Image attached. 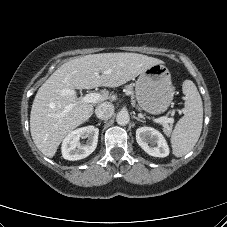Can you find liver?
<instances>
[{"instance_id":"6515ba94","label":"liver","mask_w":227,"mask_h":227,"mask_svg":"<svg viewBox=\"0 0 227 227\" xmlns=\"http://www.w3.org/2000/svg\"><path fill=\"white\" fill-rule=\"evenodd\" d=\"M162 60L137 53H101L72 59L61 65L39 88L30 114V131L36 147L52 158L73 129L93 114L95 103L82 102L76 93L61 95L63 89L119 87ZM108 72V73H107ZM109 99V92L100 102ZM72 105L68 112L65 108Z\"/></svg>"}]
</instances>
